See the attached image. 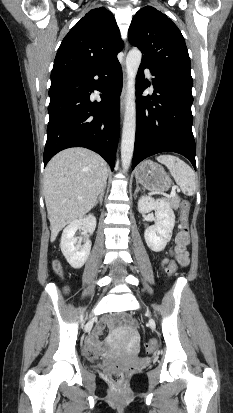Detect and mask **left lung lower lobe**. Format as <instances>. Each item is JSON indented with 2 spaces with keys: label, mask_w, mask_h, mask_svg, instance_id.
<instances>
[{
  "label": "left lung lower lobe",
  "mask_w": 233,
  "mask_h": 413,
  "mask_svg": "<svg viewBox=\"0 0 233 413\" xmlns=\"http://www.w3.org/2000/svg\"><path fill=\"white\" fill-rule=\"evenodd\" d=\"M149 68L153 79L152 97L141 96L146 89L143 70ZM150 85V83H148ZM191 86L164 75L141 62L136 82L137 126L132 169L143 159L159 152H176L190 160L196 170L195 140L192 133Z\"/></svg>",
  "instance_id": "1"
}]
</instances>
